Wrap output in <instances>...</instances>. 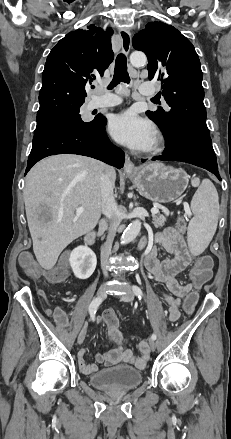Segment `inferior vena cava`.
Segmentation results:
<instances>
[{
    "label": "inferior vena cava",
    "instance_id": "inferior-vena-cava-1",
    "mask_svg": "<svg viewBox=\"0 0 231 439\" xmlns=\"http://www.w3.org/2000/svg\"><path fill=\"white\" fill-rule=\"evenodd\" d=\"M114 184L111 179V168L103 165L100 174V189L102 197V213L108 218V236L101 248V267L105 277L108 276L107 263L111 254L112 242L119 225V218L116 212V202L113 193Z\"/></svg>",
    "mask_w": 231,
    "mask_h": 439
}]
</instances>
